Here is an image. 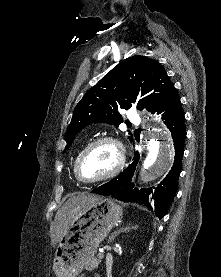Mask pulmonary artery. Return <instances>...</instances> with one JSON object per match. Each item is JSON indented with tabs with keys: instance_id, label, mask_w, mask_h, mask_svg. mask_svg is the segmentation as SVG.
<instances>
[{
	"instance_id": "e3ab8cb5",
	"label": "pulmonary artery",
	"mask_w": 221,
	"mask_h": 277,
	"mask_svg": "<svg viewBox=\"0 0 221 277\" xmlns=\"http://www.w3.org/2000/svg\"><path fill=\"white\" fill-rule=\"evenodd\" d=\"M127 118L131 121H136L137 120V115L133 110H128L127 111Z\"/></svg>"
}]
</instances>
